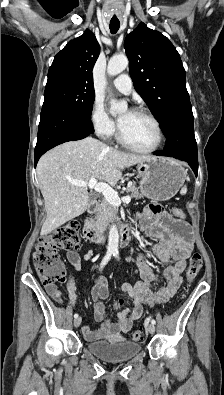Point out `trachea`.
I'll use <instances>...</instances> for the list:
<instances>
[{"mask_svg": "<svg viewBox=\"0 0 224 395\" xmlns=\"http://www.w3.org/2000/svg\"><path fill=\"white\" fill-rule=\"evenodd\" d=\"M120 26V22L119 21H115V22H110V31L112 34H115Z\"/></svg>", "mask_w": 224, "mask_h": 395, "instance_id": "3493384b", "label": "trachea"}]
</instances>
